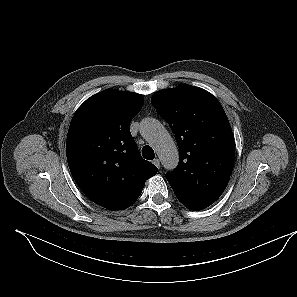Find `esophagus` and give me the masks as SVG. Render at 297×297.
Here are the masks:
<instances>
[{"label":"esophagus","instance_id":"obj_1","mask_svg":"<svg viewBox=\"0 0 297 297\" xmlns=\"http://www.w3.org/2000/svg\"><path fill=\"white\" fill-rule=\"evenodd\" d=\"M157 168H160V160L158 158L154 159L152 162Z\"/></svg>","mask_w":297,"mask_h":297}]
</instances>
